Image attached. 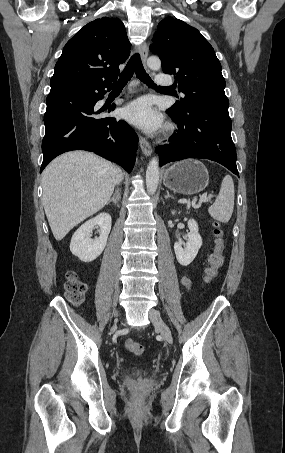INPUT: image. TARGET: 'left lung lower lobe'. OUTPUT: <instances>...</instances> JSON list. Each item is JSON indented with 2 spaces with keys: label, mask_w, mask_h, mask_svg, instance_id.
Masks as SVG:
<instances>
[{
  "label": "left lung lower lobe",
  "mask_w": 285,
  "mask_h": 453,
  "mask_svg": "<svg viewBox=\"0 0 285 453\" xmlns=\"http://www.w3.org/2000/svg\"><path fill=\"white\" fill-rule=\"evenodd\" d=\"M167 112L179 130L170 137L171 144L156 148L160 166L186 158L209 159L239 176L228 111L201 107L186 112L168 109Z\"/></svg>",
  "instance_id": "obj_1"
}]
</instances>
